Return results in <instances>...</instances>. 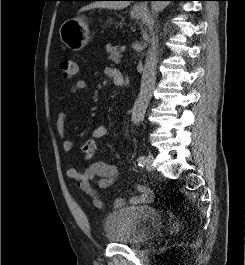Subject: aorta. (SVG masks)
Listing matches in <instances>:
<instances>
[{
  "instance_id": "obj_1",
  "label": "aorta",
  "mask_w": 245,
  "mask_h": 265,
  "mask_svg": "<svg viewBox=\"0 0 245 265\" xmlns=\"http://www.w3.org/2000/svg\"><path fill=\"white\" fill-rule=\"evenodd\" d=\"M168 4V1H152L151 11L156 15L162 12ZM157 61V51L155 45L153 44L147 53L141 77L140 92L132 108L131 120L133 124H139L141 122L152 98L156 83Z\"/></svg>"
}]
</instances>
